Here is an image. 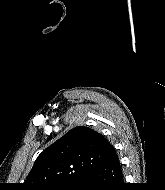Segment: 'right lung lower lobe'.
<instances>
[{
    "label": "right lung lower lobe",
    "mask_w": 165,
    "mask_h": 190,
    "mask_svg": "<svg viewBox=\"0 0 165 190\" xmlns=\"http://www.w3.org/2000/svg\"><path fill=\"white\" fill-rule=\"evenodd\" d=\"M81 180L80 190H124L122 168L118 156L89 170Z\"/></svg>",
    "instance_id": "obj_1"
}]
</instances>
